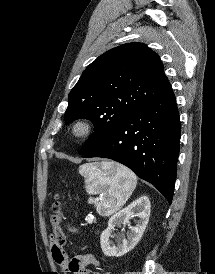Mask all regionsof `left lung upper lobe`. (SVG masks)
<instances>
[{"label": "left lung upper lobe", "instance_id": "5c2ea615", "mask_svg": "<svg viewBox=\"0 0 215 274\" xmlns=\"http://www.w3.org/2000/svg\"><path fill=\"white\" fill-rule=\"evenodd\" d=\"M159 56L142 43L113 48L93 61L68 97L65 123L90 119L94 134L80 151L99 144L131 112L169 85Z\"/></svg>", "mask_w": 215, "mask_h": 274}]
</instances>
